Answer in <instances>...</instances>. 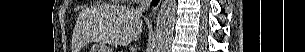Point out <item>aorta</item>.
I'll use <instances>...</instances> for the list:
<instances>
[{
    "label": "aorta",
    "instance_id": "762f6f07",
    "mask_svg": "<svg viewBox=\"0 0 305 52\" xmlns=\"http://www.w3.org/2000/svg\"><path fill=\"white\" fill-rule=\"evenodd\" d=\"M176 0H163L156 19L150 52H169L176 17Z\"/></svg>",
    "mask_w": 305,
    "mask_h": 52
}]
</instances>
